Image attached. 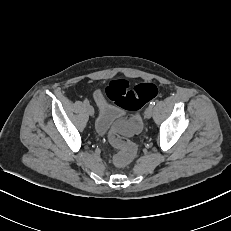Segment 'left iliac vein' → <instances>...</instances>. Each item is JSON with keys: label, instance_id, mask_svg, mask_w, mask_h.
I'll return each instance as SVG.
<instances>
[{"label": "left iliac vein", "instance_id": "left-iliac-vein-1", "mask_svg": "<svg viewBox=\"0 0 231 231\" xmlns=\"http://www.w3.org/2000/svg\"><path fill=\"white\" fill-rule=\"evenodd\" d=\"M152 114H153V107L149 105V106L146 108L144 115H145V117H146L147 119H149V118L152 117Z\"/></svg>", "mask_w": 231, "mask_h": 231}]
</instances>
